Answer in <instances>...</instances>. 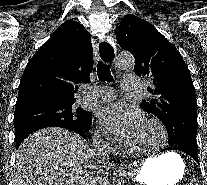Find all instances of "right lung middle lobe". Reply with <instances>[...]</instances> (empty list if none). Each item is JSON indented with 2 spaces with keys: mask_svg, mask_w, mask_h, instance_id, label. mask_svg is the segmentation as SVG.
Wrapping results in <instances>:
<instances>
[{
  "mask_svg": "<svg viewBox=\"0 0 207 185\" xmlns=\"http://www.w3.org/2000/svg\"><path fill=\"white\" fill-rule=\"evenodd\" d=\"M92 113L63 105H37L14 112L15 139L45 127L84 129L91 125Z\"/></svg>",
  "mask_w": 207,
  "mask_h": 185,
  "instance_id": "obj_1",
  "label": "right lung middle lobe"
}]
</instances>
